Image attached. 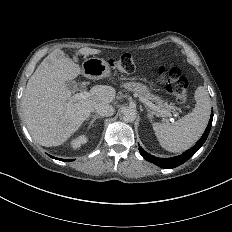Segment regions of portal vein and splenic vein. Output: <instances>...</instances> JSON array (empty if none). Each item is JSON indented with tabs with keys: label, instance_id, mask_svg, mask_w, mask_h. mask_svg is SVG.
<instances>
[{
	"label": "portal vein and splenic vein",
	"instance_id": "obj_1",
	"mask_svg": "<svg viewBox=\"0 0 232 232\" xmlns=\"http://www.w3.org/2000/svg\"><path fill=\"white\" fill-rule=\"evenodd\" d=\"M89 97H91V93L84 91V92L77 93V94L73 95L71 101H76V100H80V99H87ZM139 100L142 103H145L149 108L156 110L157 107L151 101L147 100L146 98L139 97ZM166 114H167V116H171L170 112L166 113ZM170 121L174 122V119L170 118Z\"/></svg>",
	"mask_w": 232,
	"mask_h": 232
}]
</instances>
